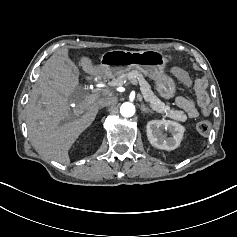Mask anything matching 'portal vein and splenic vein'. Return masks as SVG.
<instances>
[{
	"label": "portal vein and splenic vein",
	"mask_w": 237,
	"mask_h": 237,
	"mask_svg": "<svg viewBox=\"0 0 237 237\" xmlns=\"http://www.w3.org/2000/svg\"><path fill=\"white\" fill-rule=\"evenodd\" d=\"M129 82H131L135 88H138V85L136 84L135 79L129 78ZM144 99H145V97H144ZM146 102H147V101H146ZM147 103H148V102H147ZM148 104L151 105L152 107H154L152 104H150V103H148ZM151 106H149V107H151ZM152 107H151V108H152ZM152 109H155V110H156L157 108L154 107V108H152ZM157 111L160 112V110H158V109H157ZM162 111H167V110H162ZM168 111L173 112V113H176V112L171 111V110H168Z\"/></svg>",
	"instance_id": "portal-vein-and-splenic-vein-1"
}]
</instances>
